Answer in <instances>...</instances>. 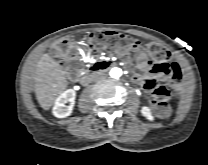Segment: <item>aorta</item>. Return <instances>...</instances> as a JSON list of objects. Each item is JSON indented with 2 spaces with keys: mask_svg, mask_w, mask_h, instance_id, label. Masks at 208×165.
Listing matches in <instances>:
<instances>
[{
  "mask_svg": "<svg viewBox=\"0 0 208 165\" xmlns=\"http://www.w3.org/2000/svg\"><path fill=\"white\" fill-rule=\"evenodd\" d=\"M109 75L112 78H119L122 76V69L118 67H113L111 68Z\"/></svg>",
  "mask_w": 208,
  "mask_h": 165,
  "instance_id": "obj_1",
  "label": "aorta"
}]
</instances>
